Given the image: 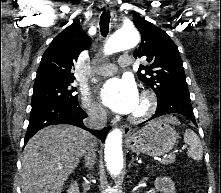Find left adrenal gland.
<instances>
[{"label":"left adrenal gland","instance_id":"left-adrenal-gland-1","mask_svg":"<svg viewBox=\"0 0 221 193\" xmlns=\"http://www.w3.org/2000/svg\"><path fill=\"white\" fill-rule=\"evenodd\" d=\"M131 165L137 166V164L134 163V157L132 156L131 161L129 163V167H131Z\"/></svg>","mask_w":221,"mask_h":193}]
</instances>
